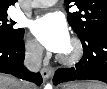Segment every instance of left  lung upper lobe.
<instances>
[{
  "instance_id": "left-lung-upper-lobe-1",
  "label": "left lung upper lobe",
  "mask_w": 107,
  "mask_h": 89,
  "mask_svg": "<svg viewBox=\"0 0 107 89\" xmlns=\"http://www.w3.org/2000/svg\"><path fill=\"white\" fill-rule=\"evenodd\" d=\"M74 0H65L66 5ZM79 11L68 13V22L80 39L98 28H107V0H75Z\"/></svg>"
}]
</instances>
